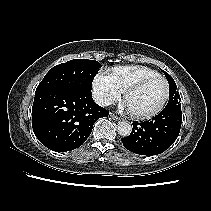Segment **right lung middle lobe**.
<instances>
[{
    "mask_svg": "<svg viewBox=\"0 0 211 211\" xmlns=\"http://www.w3.org/2000/svg\"><path fill=\"white\" fill-rule=\"evenodd\" d=\"M101 64L95 60L74 59L53 67L43 78L36 93L57 89H78L91 92L92 81Z\"/></svg>",
    "mask_w": 211,
    "mask_h": 211,
    "instance_id": "right-lung-middle-lobe-1",
    "label": "right lung middle lobe"
}]
</instances>
